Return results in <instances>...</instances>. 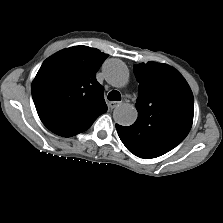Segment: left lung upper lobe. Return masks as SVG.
Segmentation results:
<instances>
[{
    "mask_svg": "<svg viewBox=\"0 0 223 223\" xmlns=\"http://www.w3.org/2000/svg\"><path fill=\"white\" fill-rule=\"evenodd\" d=\"M139 82L137 121L128 127L116 125L128 148L161 156L176 147L188 135L194 115L192 91L173 67L149 62L135 65Z\"/></svg>",
    "mask_w": 223,
    "mask_h": 223,
    "instance_id": "1",
    "label": "left lung upper lobe"
}]
</instances>
